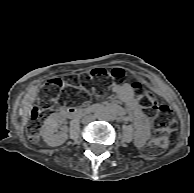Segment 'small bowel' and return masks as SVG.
I'll list each match as a JSON object with an SVG mask.
<instances>
[{
	"label": "small bowel",
	"instance_id": "obj_1",
	"mask_svg": "<svg viewBox=\"0 0 194 193\" xmlns=\"http://www.w3.org/2000/svg\"><path fill=\"white\" fill-rule=\"evenodd\" d=\"M116 96L125 104V113L136 130V142L142 145L149 136L150 121L140 109L137 98L128 84L114 85L112 88Z\"/></svg>",
	"mask_w": 194,
	"mask_h": 193
}]
</instances>
